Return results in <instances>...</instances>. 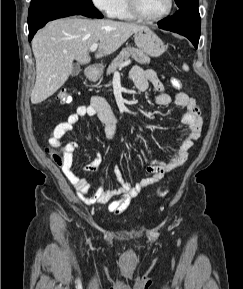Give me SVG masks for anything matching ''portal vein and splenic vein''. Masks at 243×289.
Segmentation results:
<instances>
[{
    "label": "portal vein and splenic vein",
    "instance_id": "obj_1",
    "mask_svg": "<svg viewBox=\"0 0 243 289\" xmlns=\"http://www.w3.org/2000/svg\"><path fill=\"white\" fill-rule=\"evenodd\" d=\"M97 48H98V43H93V44L91 45L89 51H90V52H94V51L97 50ZM130 63H131V61H130V60H127V61L123 62V63L120 65V68L125 67V66L129 65Z\"/></svg>",
    "mask_w": 243,
    "mask_h": 289
}]
</instances>
